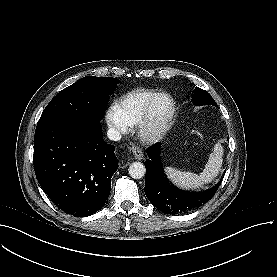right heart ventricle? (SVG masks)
<instances>
[{"mask_svg": "<svg viewBox=\"0 0 277 277\" xmlns=\"http://www.w3.org/2000/svg\"><path fill=\"white\" fill-rule=\"evenodd\" d=\"M154 94L155 92L152 90L137 89L116 102L115 107L128 126H134L139 123Z\"/></svg>", "mask_w": 277, "mask_h": 277, "instance_id": "right-heart-ventricle-1", "label": "right heart ventricle"}]
</instances>
